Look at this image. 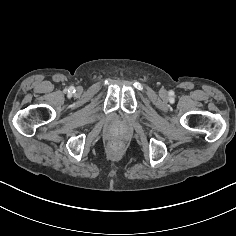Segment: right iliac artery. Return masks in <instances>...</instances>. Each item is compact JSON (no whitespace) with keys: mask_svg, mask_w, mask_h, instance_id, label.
<instances>
[{"mask_svg":"<svg viewBox=\"0 0 236 236\" xmlns=\"http://www.w3.org/2000/svg\"><path fill=\"white\" fill-rule=\"evenodd\" d=\"M70 91H71V92H74V91H75V90H74V87H71V88H70Z\"/></svg>","mask_w":236,"mask_h":236,"instance_id":"right-iliac-artery-1","label":"right iliac artery"}]
</instances>
